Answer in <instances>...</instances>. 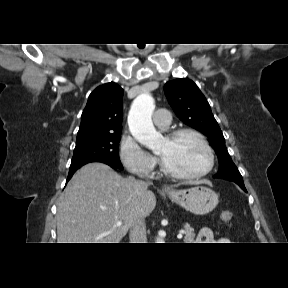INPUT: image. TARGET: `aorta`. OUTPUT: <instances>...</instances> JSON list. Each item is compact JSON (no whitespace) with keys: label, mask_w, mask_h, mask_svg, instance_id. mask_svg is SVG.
I'll return each instance as SVG.
<instances>
[{"label":"aorta","mask_w":288,"mask_h":288,"mask_svg":"<svg viewBox=\"0 0 288 288\" xmlns=\"http://www.w3.org/2000/svg\"><path fill=\"white\" fill-rule=\"evenodd\" d=\"M155 109L154 99L149 93H142L132 103L128 125L133 137L142 145L150 149L157 148L161 143V135L155 130L152 123V113ZM156 243H164L161 236Z\"/></svg>","instance_id":"1"}]
</instances>
